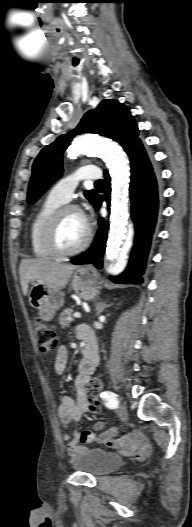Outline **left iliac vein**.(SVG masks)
Segmentation results:
<instances>
[{
	"instance_id": "obj_1",
	"label": "left iliac vein",
	"mask_w": 192,
	"mask_h": 527,
	"mask_svg": "<svg viewBox=\"0 0 192 527\" xmlns=\"http://www.w3.org/2000/svg\"><path fill=\"white\" fill-rule=\"evenodd\" d=\"M116 413L119 416L120 419L125 420L127 418V408L124 404H120L117 409Z\"/></svg>"
}]
</instances>
